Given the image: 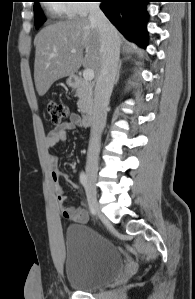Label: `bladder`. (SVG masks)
I'll use <instances>...</instances> for the list:
<instances>
[{
    "instance_id": "31cf9c89",
    "label": "bladder",
    "mask_w": 195,
    "mask_h": 299,
    "mask_svg": "<svg viewBox=\"0 0 195 299\" xmlns=\"http://www.w3.org/2000/svg\"><path fill=\"white\" fill-rule=\"evenodd\" d=\"M64 247L66 280L76 289L107 284L124 269V259L115 245L86 225L69 226Z\"/></svg>"
}]
</instances>
